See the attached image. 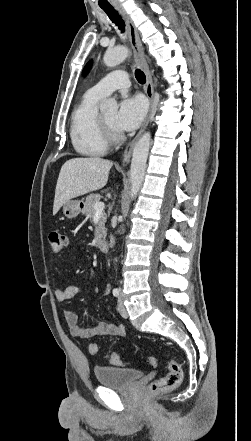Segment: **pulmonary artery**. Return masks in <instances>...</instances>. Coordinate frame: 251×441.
I'll return each mask as SVG.
<instances>
[{
  "label": "pulmonary artery",
  "instance_id": "e3ab8cb5",
  "mask_svg": "<svg viewBox=\"0 0 251 441\" xmlns=\"http://www.w3.org/2000/svg\"><path fill=\"white\" fill-rule=\"evenodd\" d=\"M130 86V78L125 71H114L103 77L91 89L105 97L115 90H125Z\"/></svg>",
  "mask_w": 251,
  "mask_h": 441
}]
</instances>
